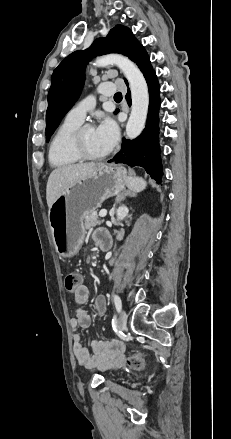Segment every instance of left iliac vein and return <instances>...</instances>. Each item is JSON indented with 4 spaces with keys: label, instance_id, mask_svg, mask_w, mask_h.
Returning <instances> with one entry per match:
<instances>
[{
    "label": "left iliac vein",
    "instance_id": "obj_1",
    "mask_svg": "<svg viewBox=\"0 0 231 439\" xmlns=\"http://www.w3.org/2000/svg\"><path fill=\"white\" fill-rule=\"evenodd\" d=\"M126 323H127V315L126 312L124 310H122L119 314V318H118V327L120 330H124L126 328Z\"/></svg>",
    "mask_w": 231,
    "mask_h": 439
}]
</instances>
